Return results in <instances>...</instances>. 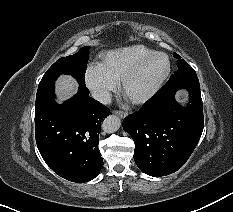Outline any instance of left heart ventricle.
I'll list each match as a JSON object with an SVG mask.
<instances>
[{
  "mask_svg": "<svg viewBox=\"0 0 233 212\" xmlns=\"http://www.w3.org/2000/svg\"><path fill=\"white\" fill-rule=\"evenodd\" d=\"M166 68L167 61L164 57L151 59L128 85V96L137 97L147 92L164 74Z\"/></svg>",
  "mask_w": 233,
  "mask_h": 212,
  "instance_id": "b2bd125f",
  "label": "left heart ventricle"
}]
</instances>
